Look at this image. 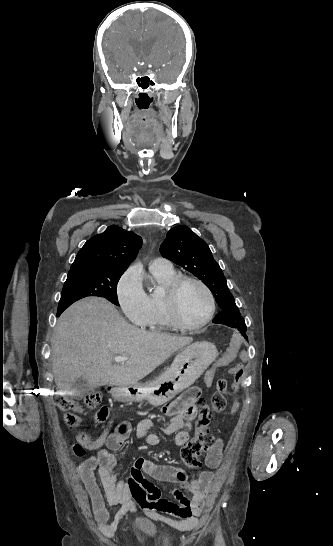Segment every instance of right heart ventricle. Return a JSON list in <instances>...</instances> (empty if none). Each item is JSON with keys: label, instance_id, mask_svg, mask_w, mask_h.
<instances>
[{"label": "right heart ventricle", "instance_id": "1", "mask_svg": "<svg viewBox=\"0 0 333 546\" xmlns=\"http://www.w3.org/2000/svg\"><path fill=\"white\" fill-rule=\"evenodd\" d=\"M153 280L158 283L164 290H166L178 277L174 270L171 271H155L151 270ZM149 300V314L143 323V325L151 331H168L172 330L174 326L167 319L163 305V295L148 294Z\"/></svg>", "mask_w": 333, "mask_h": 546}]
</instances>
